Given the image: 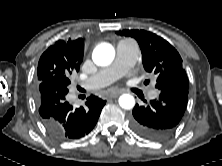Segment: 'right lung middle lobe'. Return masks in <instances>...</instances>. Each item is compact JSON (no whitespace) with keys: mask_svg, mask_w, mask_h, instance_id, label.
<instances>
[{"mask_svg":"<svg viewBox=\"0 0 222 166\" xmlns=\"http://www.w3.org/2000/svg\"><path fill=\"white\" fill-rule=\"evenodd\" d=\"M83 54L81 56H41L38 69V82L45 80H54L62 85L68 86L70 84V75L79 70L82 62Z\"/></svg>","mask_w":222,"mask_h":166,"instance_id":"right-lung-middle-lobe-1","label":"right lung middle lobe"}]
</instances>
